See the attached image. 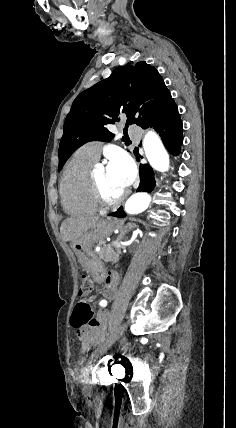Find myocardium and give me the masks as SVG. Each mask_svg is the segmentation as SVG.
Here are the masks:
<instances>
[{"mask_svg": "<svg viewBox=\"0 0 236 428\" xmlns=\"http://www.w3.org/2000/svg\"><path fill=\"white\" fill-rule=\"evenodd\" d=\"M90 188L94 201L100 207H114L121 205L126 200L129 194V190L126 189V191L118 198L111 199L107 197L102 189L100 180L97 177L96 172L90 174Z\"/></svg>", "mask_w": 236, "mask_h": 428, "instance_id": "obj_1", "label": "myocardium"}]
</instances>
